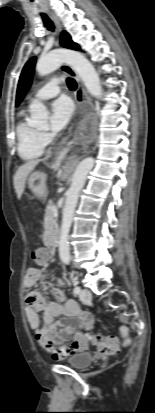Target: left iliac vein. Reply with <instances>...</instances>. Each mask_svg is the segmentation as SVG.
<instances>
[{
	"instance_id": "1",
	"label": "left iliac vein",
	"mask_w": 155,
	"mask_h": 413,
	"mask_svg": "<svg viewBox=\"0 0 155 413\" xmlns=\"http://www.w3.org/2000/svg\"><path fill=\"white\" fill-rule=\"evenodd\" d=\"M79 297L82 302H88L91 300L92 294L88 289L84 288L81 290Z\"/></svg>"
}]
</instances>
